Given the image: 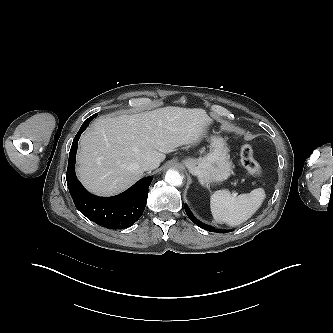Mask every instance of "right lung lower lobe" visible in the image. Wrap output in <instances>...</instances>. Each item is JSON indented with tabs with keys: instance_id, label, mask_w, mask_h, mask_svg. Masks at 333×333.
I'll return each mask as SVG.
<instances>
[{
	"instance_id": "right-lung-lower-lobe-1",
	"label": "right lung lower lobe",
	"mask_w": 333,
	"mask_h": 333,
	"mask_svg": "<svg viewBox=\"0 0 333 333\" xmlns=\"http://www.w3.org/2000/svg\"><path fill=\"white\" fill-rule=\"evenodd\" d=\"M96 116L92 115L83 123L73 140L66 173L68 189L76 208L91 221L109 229L127 228L142 216L152 178H143L113 197H97L86 191L75 175L77 144L82 132Z\"/></svg>"
}]
</instances>
